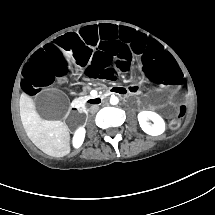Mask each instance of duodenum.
I'll return each mask as SVG.
<instances>
[{
	"label": "duodenum",
	"instance_id": "duodenum-1",
	"mask_svg": "<svg viewBox=\"0 0 215 215\" xmlns=\"http://www.w3.org/2000/svg\"><path fill=\"white\" fill-rule=\"evenodd\" d=\"M113 95H119V96H128L129 93L127 91L126 88L124 87H115V88H110L108 89L105 93L99 95L98 97L96 98H93V99H88L87 100V103H91V104H100L102 103L106 98L110 97V96H113ZM84 102L81 101V100H77L73 106H72V111L74 113H77L79 112L82 104Z\"/></svg>",
	"mask_w": 215,
	"mask_h": 215
}]
</instances>
